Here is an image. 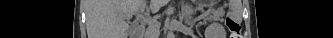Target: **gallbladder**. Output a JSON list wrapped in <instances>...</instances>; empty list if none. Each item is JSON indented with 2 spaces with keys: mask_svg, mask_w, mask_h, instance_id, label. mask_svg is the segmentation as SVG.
Returning <instances> with one entry per match:
<instances>
[{
  "mask_svg": "<svg viewBox=\"0 0 333 38\" xmlns=\"http://www.w3.org/2000/svg\"><path fill=\"white\" fill-rule=\"evenodd\" d=\"M129 36H130V37L133 36V28H130V30H129Z\"/></svg>",
  "mask_w": 333,
  "mask_h": 38,
  "instance_id": "bac80fb5",
  "label": "gallbladder"
}]
</instances>
